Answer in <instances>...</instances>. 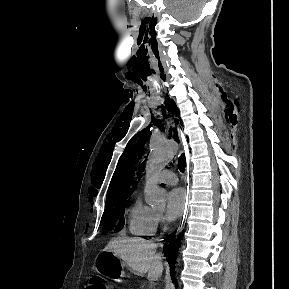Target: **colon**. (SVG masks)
I'll return each instance as SVG.
<instances>
[{"mask_svg": "<svg viewBox=\"0 0 289 289\" xmlns=\"http://www.w3.org/2000/svg\"><path fill=\"white\" fill-rule=\"evenodd\" d=\"M86 289H106V285L101 278L93 277L87 282Z\"/></svg>", "mask_w": 289, "mask_h": 289, "instance_id": "1", "label": "colon"}]
</instances>
